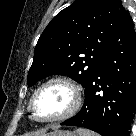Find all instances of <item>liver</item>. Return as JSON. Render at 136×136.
I'll return each mask as SVG.
<instances>
[{
    "label": "liver",
    "mask_w": 136,
    "mask_h": 136,
    "mask_svg": "<svg viewBox=\"0 0 136 136\" xmlns=\"http://www.w3.org/2000/svg\"><path fill=\"white\" fill-rule=\"evenodd\" d=\"M52 134V133H50ZM49 134L46 133V131H41V132H37L35 133V136H48Z\"/></svg>",
    "instance_id": "6515ba94"
}]
</instances>
